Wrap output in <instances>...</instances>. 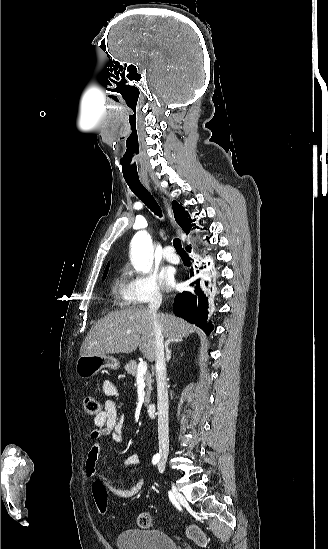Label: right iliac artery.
I'll return each instance as SVG.
<instances>
[{
  "mask_svg": "<svg viewBox=\"0 0 328 549\" xmlns=\"http://www.w3.org/2000/svg\"><path fill=\"white\" fill-rule=\"evenodd\" d=\"M159 460H160V455H159V454H155V455L153 456L152 463L155 465V464H157V463L159 462Z\"/></svg>",
  "mask_w": 328,
  "mask_h": 549,
  "instance_id": "82829eb1",
  "label": "right iliac artery"
}]
</instances>
